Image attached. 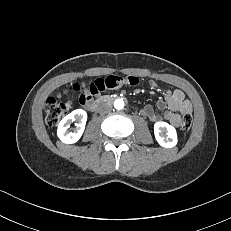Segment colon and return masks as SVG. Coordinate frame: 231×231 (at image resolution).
Wrapping results in <instances>:
<instances>
[{
    "instance_id": "colon-1",
    "label": "colon",
    "mask_w": 231,
    "mask_h": 231,
    "mask_svg": "<svg viewBox=\"0 0 231 231\" xmlns=\"http://www.w3.org/2000/svg\"><path fill=\"white\" fill-rule=\"evenodd\" d=\"M113 76V75H112ZM90 81V80H89ZM88 82V81H87ZM84 83H75L70 87L72 91H78ZM46 123L50 127L56 126L61 118L68 114L72 108V105L68 101L61 100L60 96L50 97L46 101ZM192 125L191 114H186L183 116L181 121V129L187 131Z\"/></svg>"
}]
</instances>
